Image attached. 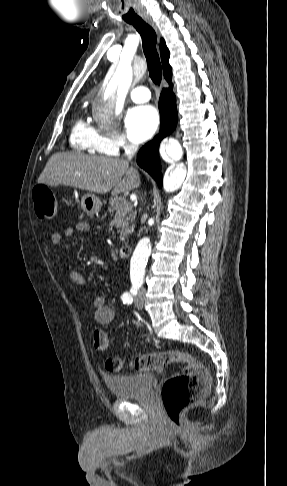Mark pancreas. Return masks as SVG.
<instances>
[{"label":"pancreas","mask_w":287,"mask_h":486,"mask_svg":"<svg viewBox=\"0 0 287 486\" xmlns=\"http://www.w3.org/2000/svg\"><path fill=\"white\" fill-rule=\"evenodd\" d=\"M109 204L110 207L108 210L111 216H114V213L118 212L122 214V227L119 233L120 240L123 241L134 230L136 214L132 212V204L125 197H111Z\"/></svg>","instance_id":"1"}]
</instances>
